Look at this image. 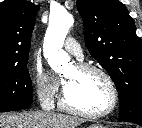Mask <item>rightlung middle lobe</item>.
Returning <instances> with one entry per match:
<instances>
[{
  "label": "right lung middle lobe",
  "instance_id": "obj_1",
  "mask_svg": "<svg viewBox=\"0 0 142 128\" xmlns=\"http://www.w3.org/2000/svg\"><path fill=\"white\" fill-rule=\"evenodd\" d=\"M33 100L27 64L0 68V108H28Z\"/></svg>",
  "mask_w": 142,
  "mask_h": 128
}]
</instances>
